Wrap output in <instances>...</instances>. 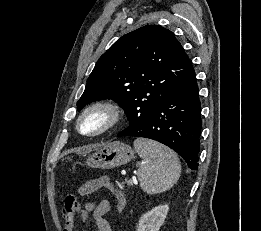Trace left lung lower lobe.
<instances>
[{
	"label": "left lung lower lobe",
	"mask_w": 261,
	"mask_h": 231,
	"mask_svg": "<svg viewBox=\"0 0 261 231\" xmlns=\"http://www.w3.org/2000/svg\"><path fill=\"white\" fill-rule=\"evenodd\" d=\"M201 128V104L194 71L143 123L130 125L117 136L156 140L177 152L189 168L197 169Z\"/></svg>",
	"instance_id": "0a47b994"
}]
</instances>
